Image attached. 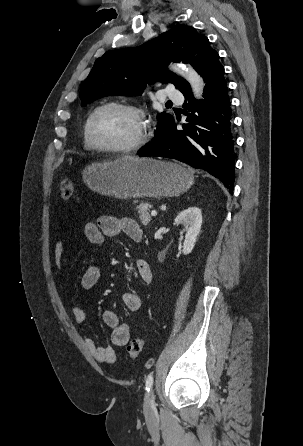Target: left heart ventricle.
<instances>
[{
  "label": "left heart ventricle",
  "mask_w": 303,
  "mask_h": 446,
  "mask_svg": "<svg viewBox=\"0 0 303 446\" xmlns=\"http://www.w3.org/2000/svg\"><path fill=\"white\" fill-rule=\"evenodd\" d=\"M91 130L94 140L99 145L122 146L135 139L139 131V122L126 111L107 109L95 117Z\"/></svg>",
  "instance_id": "left-heart-ventricle-1"
}]
</instances>
